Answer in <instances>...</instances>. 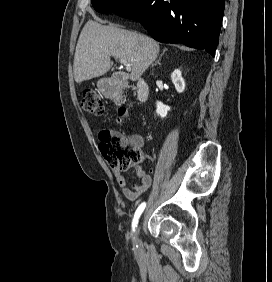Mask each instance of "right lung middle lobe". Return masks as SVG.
<instances>
[{
  "instance_id": "dd1d6c3e",
  "label": "right lung middle lobe",
  "mask_w": 272,
  "mask_h": 282,
  "mask_svg": "<svg viewBox=\"0 0 272 282\" xmlns=\"http://www.w3.org/2000/svg\"><path fill=\"white\" fill-rule=\"evenodd\" d=\"M140 0H92L94 9L100 13L118 12Z\"/></svg>"
}]
</instances>
